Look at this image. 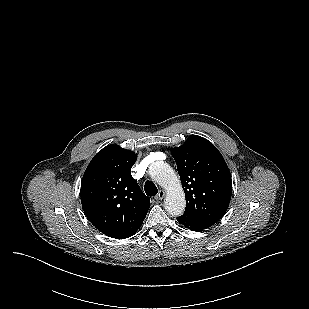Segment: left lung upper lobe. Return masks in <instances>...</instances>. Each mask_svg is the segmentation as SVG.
Returning <instances> with one entry per match:
<instances>
[{
  "label": "left lung upper lobe",
  "instance_id": "5c2ea615",
  "mask_svg": "<svg viewBox=\"0 0 309 309\" xmlns=\"http://www.w3.org/2000/svg\"><path fill=\"white\" fill-rule=\"evenodd\" d=\"M171 153L186 196L181 217L214 225L227 211L232 193L231 175L224 158L210 141L197 135Z\"/></svg>",
  "mask_w": 309,
  "mask_h": 309
}]
</instances>
